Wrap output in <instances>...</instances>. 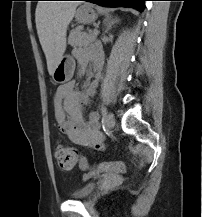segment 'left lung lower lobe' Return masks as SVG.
Listing matches in <instances>:
<instances>
[{
  "label": "left lung lower lobe",
  "mask_w": 202,
  "mask_h": 217,
  "mask_svg": "<svg viewBox=\"0 0 202 217\" xmlns=\"http://www.w3.org/2000/svg\"><path fill=\"white\" fill-rule=\"evenodd\" d=\"M103 7H129L143 11L144 2L147 0H83Z\"/></svg>",
  "instance_id": "obj_1"
}]
</instances>
